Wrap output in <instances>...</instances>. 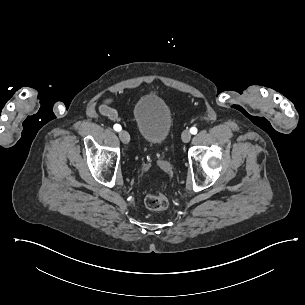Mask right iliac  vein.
<instances>
[{"mask_svg": "<svg viewBox=\"0 0 305 305\" xmlns=\"http://www.w3.org/2000/svg\"><path fill=\"white\" fill-rule=\"evenodd\" d=\"M119 137L124 143H128L130 141V136L125 130H121L119 132Z\"/></svg>", "mask_w": 305, "mask_h": 305, "instance_id": "1", "label": "right iliac vein"}]
</instances>
